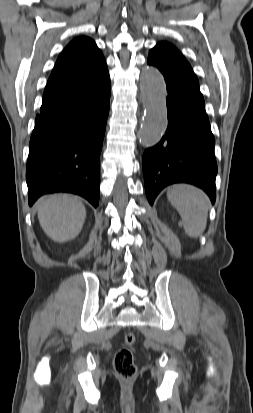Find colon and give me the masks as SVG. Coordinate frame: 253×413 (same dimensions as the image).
I'll return each instance as SVG.
<instances>
[{"instance_id": "colon-1", "label": "colon", "mask_w": 253, "mask_h": 413, "mask_svg": "<svg viewBox=\"0 0 253 413\" xmlns=\"http://www.w3.org/2000/svg\"><path fill=\"white\" fill-rule=\"evenodd\" d=\"M135 343L136 337L133 333L125 334L123 345L118 349L114 357L113 364L115 372L123 380L132 379L137 372L133 356Z\"/></svg>"}]
</instances>
